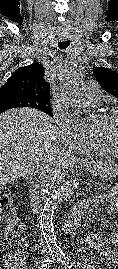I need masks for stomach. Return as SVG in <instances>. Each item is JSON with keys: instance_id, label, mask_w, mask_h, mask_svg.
Masks as SVG:
<instances>
[{"instance_id": "0dacf381", "label": "stomach", "mask_w": 118, "mask_h": 269, "mask_svg": "<svg viewBox=\"0 0 118 269\" xmlns=\"http://www.w3.org/2000/svg\"><path fill=\"white\" fill-rule=\"evenodd\" d=\"M84 170L103 181L112 180L118 175V165L110 159H104L92 165H84Z\"/></svg>"}]
</instances>
